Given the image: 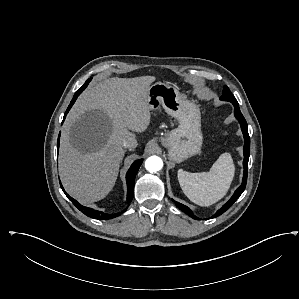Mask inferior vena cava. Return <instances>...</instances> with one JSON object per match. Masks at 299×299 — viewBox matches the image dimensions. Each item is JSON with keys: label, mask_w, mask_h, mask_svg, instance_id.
<instances>
[{"label": "inferior vena cava", "mask_w": 299, "mask_h": 299, "mask_svg": "<svg viewBox=\"0 0 299 299\" xmlns=\"http://www.w3.org/2000/svg\"><path fill=\"white\" fill-rule=\"evenodd\" d=\"M122 146L124 148H129V149H134L137 147V140L133 134L130 136H127L125 139L122 141Z\"/></svg>", "instance_id": "obj_1"}]
</instances>
